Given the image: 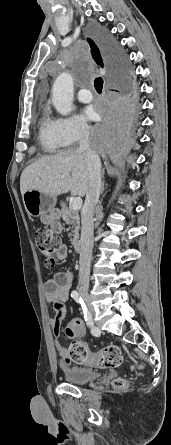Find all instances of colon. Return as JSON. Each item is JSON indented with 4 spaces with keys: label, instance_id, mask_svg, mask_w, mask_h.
Segmentation results:
<instances>
[{
    "label": "colon",
    "instance_id": "colon-1",
    "mask_svg": "<svg viewBox=\"0 0 171 445\" xmlns=\"http://www.w3.org/2000/svg\"><path fill=\"white\" fill-rule=\"evenodd\" d=\"M35 241L44 258L47 266H53L58 261V251L61 247L60 237L53 231L46 228H37L35 230ZM68 336H73L71 327L67 330ZM69 360L74 363H88L98 368H114L121 365L123 355L120 348L116 345H108L95 353H90L86 344L82 341L74 340L69 347ZM139 369L138 364L132 366ZM125 380L118 378L114 381L115 389L125 387Z\"/></svg>",
    "mask_w": 171,
    "mask_h": 445
}]
</instances>
